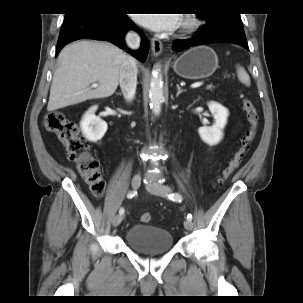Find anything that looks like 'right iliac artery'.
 <instances>
[{
    "label": "right iliac artery",
    "instance_id": "obj_1",
    "mask_svg": "<svg viewBox=\"0 0 303 303\" xmlns=\"http://www.w3.org/2000/svg\"><path fill=\"white\" fill-rule=\"evenodd\" d=\"M134 195H135V192H134V191L129 192V193L127 194V198L131 199ZM119 214H120V215H123V214H124V209H123V208H120Z\"/></svg>",
    "mask_w": 303,
    "mask_h": 303
}]
</instances>
